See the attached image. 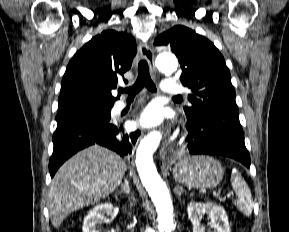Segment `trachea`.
<instances>
[{"instance_id": "obj_1", "label": "trachea", "mask_w": 289, "mask_h": 232, "mask_svg": "<svg viewBox=\"0 0 289 232\" xmlns=\"http://www.w3.org/2000/svg\"><path fill=\"white\" fill-rule=\"evenodd\" d=\"M144 87H146L151 92H156V86L151 79L149 73L148 63L145 60H141L138 64V77L136 82L132 87L129 88H120L119 92L128 93V98H134ZM175 98H180L176 96Z\"/></svg>"}]
</instances>
